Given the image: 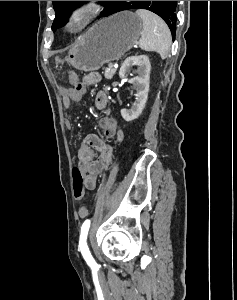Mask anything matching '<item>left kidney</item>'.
I'll list each match as a JSON object with an SVG mask.
<instances>
[{
  "mask_svg": "<svg viewBox=\"0 0 237 300\" xmlns=\"http://www.w3.org/2000/svg\"><path fill=\"white\" fill-rule=\"evenodd\" d=\"M137 65L138 77L130 79L129 83H132L133 89H135V101L131 109H121L120 113L124 121H134L141 115L149 93V79H150V61L146 55H135V57H127L125 59L120 71L119 77L124 79L127 71H130L131 67Z\"/></svg>",
  "mask_w": 237,
  "mask_h": 300,
  "instance_id": "left-kidney-1",
  "label": "left kidney"
}]
</instances>
